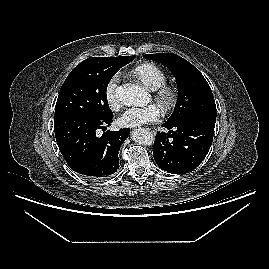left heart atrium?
<instances>
[{
    "instance_id": "39dd6f15",
    "label": "left heart atrium",
    "mask_w": 269,
    "mask_h": 269,
    "mask_svg": "<svg viewBox=\"0 0 269 269\" xmlns=\"http://www.w3.org/2000/svg\"><path fill=\"white\" fill-rule=\"evenodd\" d=\"M160 109L155 104L144 107H130L118 118L122 127H137L147 123L156 122L160 118Z\"/></svg>"
}]
</instances>
